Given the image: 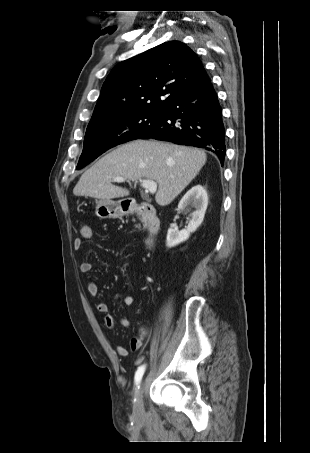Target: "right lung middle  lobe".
Wrapping results in <instances>:
<instances>
[{"instance_id": "dd1d6c3e", "label": "right lung middle lobe", "mask_w": 310, "mask_h": 453, "mask_svg": "<svg viewBox=\"0 0 310 453\" xmlns=\"http://www.w3.org/2000/svg\"><path fill=\"white\" fill-rule=\"evenodd\" d=\"M162 115L163 110L133 111L89 123L77 169L83 168L116 145L138 139L159 123Z\"/></svg>"}]
</instances>
